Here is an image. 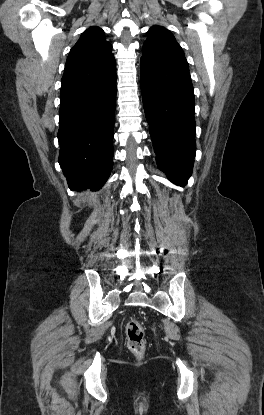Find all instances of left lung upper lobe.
Here are the masks:
<instances>
[{
  "instance_id": "5c2ea615",
  "label": "left lung upper lobe",
  "mask_w": 264,
  "mask_h": 415,
  "mask_svg": "<svg viewBox=\"0 0 264 415\" xmlns=\"http://www.w3.org/2000/svg\"><path fill=\"white\" fill-rule=\"evenodd\" d=\"M141 58L164 66L189 70L180 45L167 29L160 26H153L148 31V38L144 42Z\"/></svg>"
}]
</instances>
